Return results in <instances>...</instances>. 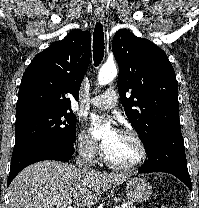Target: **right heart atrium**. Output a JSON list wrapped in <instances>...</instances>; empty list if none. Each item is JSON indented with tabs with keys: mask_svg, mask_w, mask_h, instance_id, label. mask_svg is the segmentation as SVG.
<instances>
[{
	"mask_svg": "<svg viewBox=\"0 0 199 208\" xmlns=\"http://www.w3.org/2000/svg\"><path fill=\"white\" fill-rule=\"evenodd\" d=\"M75 144L78 152L91 162L96 161L100 156L98 144L82 128L76 132Z\"/></svg>",
	"mask_w": 199,
	"mask_h": 208,
	"instance_id": "right-heart-atrium-1",
	"label": "right heart atrium"
}]
</instances>
